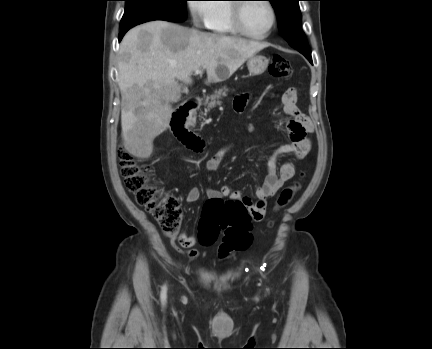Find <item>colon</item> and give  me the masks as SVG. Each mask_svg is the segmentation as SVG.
<instances>
[{"label": "colon", "instance_id": "obj_1", "mask_svg": "<svg viewBox=\"0 0 432 349\" xmlns=\"http://www.w3.org/2000/svg\"><path fill=\"white\" fill-rule=\"evenodd\" d=\"M269 73L276 78H287L292 74V66L285 57L276 55L269 65ZM118 158L125 185L134 194L137 203L155 217L166 235L177 234L182 219L179 198L153 185L150 167L140 165L126 148H120ZM297 188L298 185L284 189L278 205H285ZM251 230L252 217L243 202L231 199L208 200L199 224V241L202 245L209 246L222 233L219 255L226 257L246 250L251 245Z\"/></svg>", "mask_w": 432, "mask_h": 349}]
</instances>
